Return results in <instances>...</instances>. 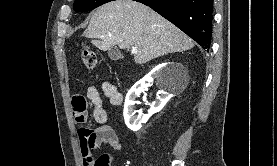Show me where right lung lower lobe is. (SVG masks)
I'll return each instance as SVG.
<instances>
[{"label": "right lung lower lobe", "instance_id": "98d812e1", "mask_svg": "<svg viewBox=\"0 0 277 166\" xmlns=\"http://www.w3.org/2000/svg\"><path fill=\"white\" fill-rule=\"evenodd\" d=\"M172 22L203 49L209 51L213 23V0H134Z\"/></svg>", "mask_w": 277, "mask_h": 166}]
</instances>
